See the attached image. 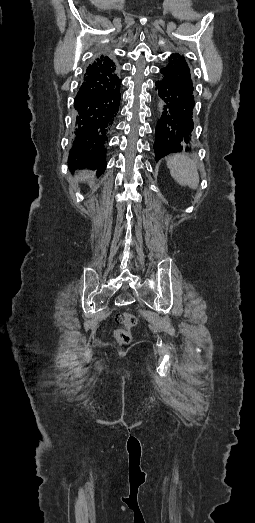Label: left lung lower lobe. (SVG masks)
I'll list each match as a JSON object with an SVG mask.
<instances>
[{
	"mask_svg": "<svg viewBox=\"0 0 255 523\" xmlns=\"http://www.w3.org/2000/svg\"><path fill=\"white\" fill-rule=\"evenodd\" d=\"M173 78L161 76L155 80L160 116L154 133L158 135L152 140V161L160 162L162 157L174 152L192 151L195 136L193 125L194 110L197 104L193 102L192 94L184 86L172 85ZM164 97L166 103L161 102ZM166 112V113H165Z\"/></svg>",
	"mask_w": 255,
	"mask_h": 523,
	"instance_id": "0a47b994",
	"label": "left lung lower lobe"
}]
</instances>
